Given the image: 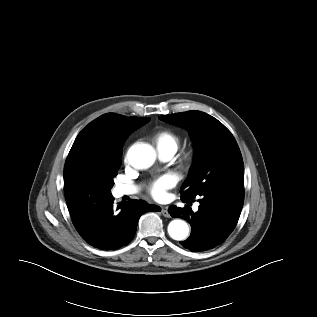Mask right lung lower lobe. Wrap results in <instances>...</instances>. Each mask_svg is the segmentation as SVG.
<instances>
[{"instance_id": "obj_1", "label": "right lung lower lobe", "mask_w": 317, "mask_h": 317, "mask_svg": "<svg viewBox=\"0 0 317 317\" xmlns=\"http://www.w3.org/2000/svg\"><path fill=\"white\" fill-rule=\"evenodd\" d=\"M66 202L73 225L91 246L102 250H115L127 245L134 237L140 216L160 207L142 200L124 202L113 208V197L101 201H84L67 196Z\"/></svg>"}]
</instances>
